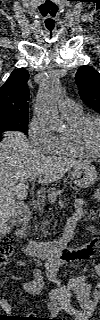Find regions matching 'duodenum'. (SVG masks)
Listing matches in <instances>:
<instances>
[{
    "mask_svg": "<svg viewBox=\"0 0 100 320\" xmlns=\"http://www.w3.org/2000/svg\"><path fill=\"white\" fill-rule=\"evenodd\" d=\"M25 219L24 216L18 226L16 235L23 237L25 235ZM80 217L76 213L67 220V226L63 236L58 240L51 241H29L24 252L29 257L40 258L49 261L50 263L60 266L66 262L67 257V244L74 237L75 228Z\"/></svg>",
    "mask_w": 100,
    "mask_h": 320,
    "instance_id": "410a0bca",
    "label": "duodenum"
}]
</instances>
